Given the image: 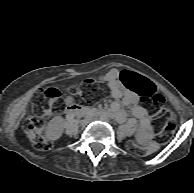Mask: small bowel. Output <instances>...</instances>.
I'll list each match as a JSON object with an SVG mask.
<instances>
[{"mask_svg": "<svg viewBox=\"0 0 194 193\" xmlns=\"http://www.w3.org/2000/svg\"><path fill=\"white\" fill-rule=\"evenodd\" d=\"M101 79L108 84L110 95L115 99L111 105L112 114L118 121L124 122L127 111L123 107H127L138 121V140L147 144L151 138V122L147 110L138 104L137 92L124 85L117 69L109 70Z\"/></svg>", "mask_w": 194, "mask_h": 193, "instance_id": "1", "label": "small bowel"}]
</instances>
